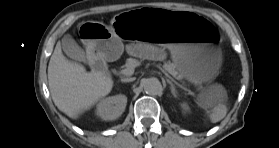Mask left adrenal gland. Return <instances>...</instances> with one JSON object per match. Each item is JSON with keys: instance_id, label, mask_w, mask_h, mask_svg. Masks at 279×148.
I'll return each instance as SVG.
<instances>
[{"instance_id": "1", "label": "left adrenal gland", "mask_w": 279, "mask_h": 148, "mask_svg": "<svg viewBox=\"0 0 279 148\" xmlns=\"http://www.w3.org/2000/svg\"><path fill=\"white\" fill-rule=\"evenodd\" d=\"M167 82L170 84L172 95L174 97H177V91H176V88H175L174 84L168 79H167Z\"/></svg>"}]
</instances>
